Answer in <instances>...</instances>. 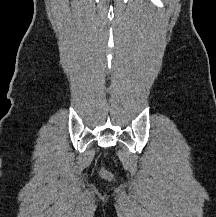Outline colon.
Wrapping results in <instances>:
<instances>
[{"label": "colon", "mask_w": 216, "mask_h": 217, "mask_svg": "<svg viewBox=\"0 0 216 217\" xmlns=\"http://www.w3.org/2000/svg\"><path fill=\"white\" fill-rule=\"evenodd\" d=\"M100 176L104 179H110L111 178V174L104 169L100 170Z\"/></svg>", "instance_id": "colon-1"}]
</instances>
